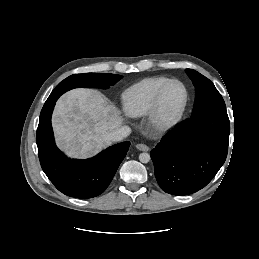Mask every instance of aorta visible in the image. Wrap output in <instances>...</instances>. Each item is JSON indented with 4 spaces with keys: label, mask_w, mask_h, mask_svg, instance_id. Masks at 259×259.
Returning a JSON list of instances; mask_svg holds the SVG:
<instances>
[{
    "label": "aorta",
    "mask_w": 259,
    "mask_h": 259,
    "mask_svg": "<svg viewBox=\"0 0 259 259\" xmlns=\"http://www.w3.org/2000/svg\"><path fill=\"white\" fill-rule=\"evenodd\" d=\"M139 160L142 163H148L150 161V155L148 153H141L139 155Z\"/></svg>",
    "instance_id": "762f6f07"
}]
</instances>
